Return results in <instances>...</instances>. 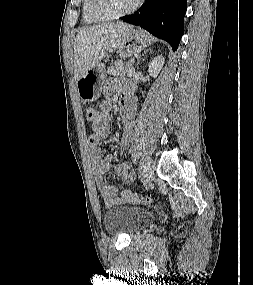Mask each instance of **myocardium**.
<instances>
[{"instance_id":"myocardium-1","label":"myocardium","mask_w":253,"mask_h":285,"mask_svg":"<svg viewBox=\"0 0 253 285\" xmlns=\"http://www.w3.org/2000/svg\"><path fill=\"white\" fill-rule=\"evenodd\" d=\"M142 2L143 0H136L135 3L125 11L108 14L99 8L98 0H89V10L95 17L99 18L100 20H115L135 12L141 6Z\"/></svg>"}]
</instances>
